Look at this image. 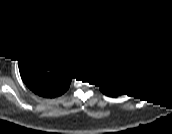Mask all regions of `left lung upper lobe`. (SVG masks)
Instances as JSON below:
<instances>
[{"label": "left lung upper lobe", "instance_id": "obj_1", "mask_svg": "<svg viewBox=\"0 0 172 134\" xmlns=\"http://www.w3.org/2000/svg\"><path fill=\"white\" fill-rule=\"evenodd\" d=\"M111 74L113 80L111 86L103 89L112 94H126L142 82L144 75L139 64L127 55L114 60Z\"/></svg>", "mask_w": 172, "mask_h": 134}]
</instances>
